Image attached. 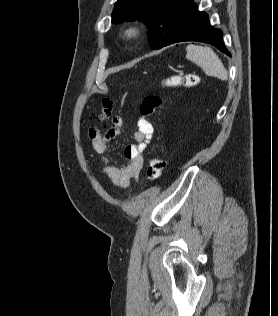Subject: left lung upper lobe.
Masks as SVG:
<instances>
[{
    "label": "left lung upper lobe",
    "mask_w": 278,
    "mask_h": 316,
    "mask_svg": "<svg viewBox=\"0 0 278 316\" xmlns=\"http://www.w3.org/2000/svg\"><path fill=\"white\" fill-rule=\"evenodd\" d=\"M191 0H118L112 23L143 21L152 49L162 48L173 35Z\"/></svg>",
    "instance_id": "5c2ea615"
}]
</instances>
